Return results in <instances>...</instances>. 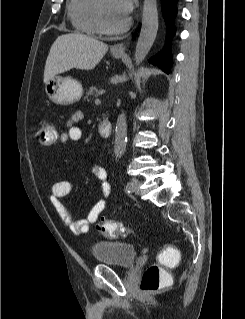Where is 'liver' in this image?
<instances>
[{"label":"liver","mask_w":245,"mask_h":319,"mask_svg":"<svg viewBox=\"0 0 245 319\" xmlns=\"http://www.w3.org/2000/svg\"><path fill=\"white\" fill-rule=\"evenodd\" d=\"M108 51V45L81 33L60 35L51 46L44 70V83L76 68L91 70Z\"/></svg>","instance_id":"6515ba94"}]
</instances>
